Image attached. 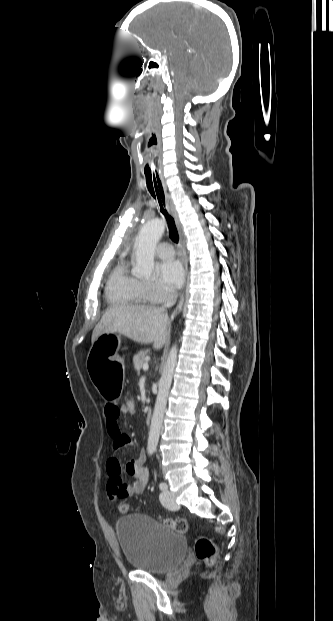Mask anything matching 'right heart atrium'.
<instances>
[{"instance_id": "right-heart-atrium-1", "label": "right heart atrium", "mask_w": 333, "mask_h": 621, "mask_svg": "<svg viewBox=\"0 0 333 621\" xmlns=\"http://www.w3.org/2000/svg\"><path fill=\"white\" fill-rule=\"evenodd\" d=\"M143 291L147 300L152 303H159L171 296V292L155 282H142Z\"/></svg>"}]
</instances>
